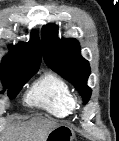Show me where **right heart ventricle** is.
Here are the masks:
<instances>
[{
	"mask_svg": "<svg viewBox=\"0 0 119 141\" xmlns=\"http://www.w3.org/2000/svg\"><path fill=\"white\" fill-rule=\"evenodd\" d=\"M26 101L58 118L69 116L75 107L70 86L65 79L53 72L45 73L32 85Z\"/></svg>",
	"mask_w": 119,
	"mask_h": 141,
	"instance_id": "e07e8e85",
	"label": "right heart ventricle"
}]
</instances>
